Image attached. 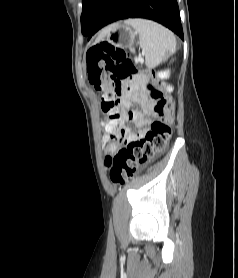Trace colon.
<instances>
[{"mask_svg":"<svg viewBox=\"0 0 238 278\" xmlns=\"http://www.w3.org/2000/svg\"><path fill=\"white\" fill-rule=\"evenodd\" d=\"M87 73L90 84L101 100L102 112L107 116L104 128L108 135L119 126L120 97L125 83L139 77L153 102L156 119L144 138L128 143L117 152L109 149L107 158L109 176L113 183L124 184L142 166L161 154L171 138L174 122V102L155 85L153 74L148 70H138L128 50L118 48L108 42L92 46L86 53Z\"/></svg>","mask_w":238,"mask_h":278,"instance_id":"1","label":"colon"}]
</instances>
